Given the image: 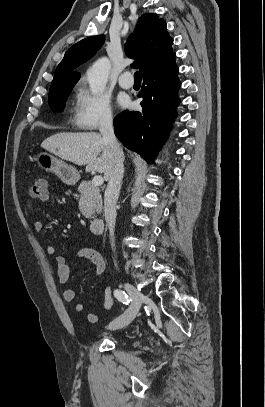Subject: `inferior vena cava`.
Masks as SVG:
<instances>
[{
    "mask_svg": "<svg viewBox=\"0 0 265 407\" xmlns=\"http://www.w3.org/2000/svg\"><path fill=\"white\" fill-rule=\"evenodd\" d=\"M100 133L103 140L111 147L114 153V166L112 173L108 179L107 188L104 194V214L105 220L109 228L111 246L115 247L114 243V228L116 223V203L119 197L122 178L124 173V156L116 136L114 134L113 119L111 114H106L100 123Z\"/></svg>",
    "mask_w": 265,
    "mask_h": 407,
    "instance_id": "602c4592",
    "label": "inferior vena cava"
}]
</instances>
